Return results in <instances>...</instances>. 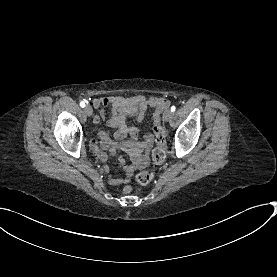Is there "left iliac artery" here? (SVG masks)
Masks as SVG:
<instances>
[{
	"mask_svg": "<svg viewBox=\"0 0 277 277\" xmlns=\"http://www.w3.org/2000/svg\"><path fill=\"white\" fill-rule=\"evenodd\" d=\"M176 110V107L175 106H172L171 107V111L174 112Z\"/></svg>",
	"mask_w": 277,
	"mask_h": 277,
	"instance_id": "44dca946",
	"label": "left iliac artery"
}]
</instances>
